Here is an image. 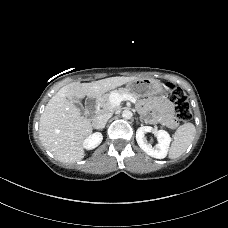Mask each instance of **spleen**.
Returning <instances> with one entry per match:
<instances>
[{"label":"spleen","instance_id":"obj_1","mask_svg":"<svg viewBox=\"0 0 228 228\" xmlns=\"http://www.w3.org/2000/svg\"><path fill=\"white\" fill-rule=\"evenodd\" d=\"M196 134L195 126L192 123H185L181 125L174 134L169 157L176 159L180 157L193 142Z\"/></svg>","mask_w":228,"mask_h":228}]
</instances>
